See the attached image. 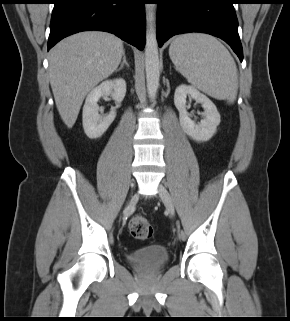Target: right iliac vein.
Instances as JSON below:
<instances>
[{"label":"right iliac vein","instance_id":"63e3f726","mask_svg":"<svg viewBox=\"0 0 290 321\" xmlns=\"http://www.w3.org/2000/svg\"><path fill=\"white\" fill-rule=\"evenodd\" d=\"M137 201V195H132L125 207L124 213H128L130 211V209L132 208V206L136 203Z\"/></svg>","mask_w":290,"mask_h":321}]
</instances>
